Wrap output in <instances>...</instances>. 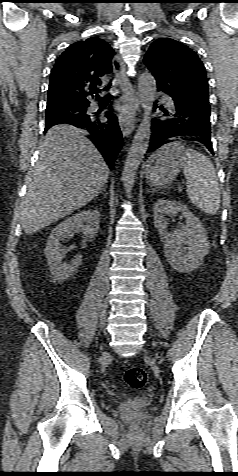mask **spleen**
Segmentation results:
<instances>
[{
    "instance_id": "spleen-1",
    "label": "spleen",
    "mask_w": 238,
    "mask_h": 476,
    "mask_svg": "<svg viewBox=\"0 0 238 476\" xmlns=\"http://www.w3.org/2000/svg\"><path fill=\"white\" fill-rule=\"evenodd\" d=\"M185 155L183 172L188 197L197 208L209 215H215L220 207V189L214 165L209 158L196 150L188 149Z\"/></svg>"
}]
</instances>
